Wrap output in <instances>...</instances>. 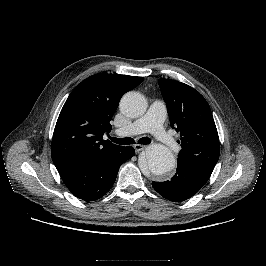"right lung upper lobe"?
Masks as SVG:
<instances>
[{"label": "right lung upper lobe", "mask_w": 266, "mask_h": 266, "mask_svg": "<svg viewBox=\"0 0 266 266\" xmlns=\"http://www.w3.org/2000/svg\"><path fill=\"white\" fill-rule=\"evenodd\" d=\"M143 77L95 74L71 92L58 117L51 145L56 168L111 152L120 146L103 140L121 97Z\"/></svg>", "instance_id": "1"}]
</instances>
